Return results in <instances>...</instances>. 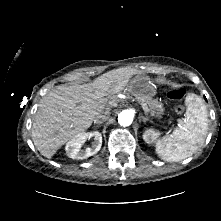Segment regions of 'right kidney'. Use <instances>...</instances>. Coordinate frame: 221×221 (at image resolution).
Here are the masks:
<instances>
[{
    "mask_svg": "<svg viewBox=\"0 0 221 221\" xmlns=\"http://www.w3.org/2000/svg\"><path fill=\"white\" fill-rule=\"evenodd\" d=\"M94 137V142L92 143L91 148H86L85 150H81L82 145L85 141ZM102 145V135L98 131H94L91 133H79L74 138H72L65 147L67 155L72 159H86L94 154H96Z\"/></svg>",
    "mask_w": 221,
    "mask_h": 221,
    "instance_id": "right-kidney-1",
    "label": "right kidney"
}]
</instances>
